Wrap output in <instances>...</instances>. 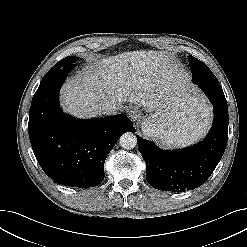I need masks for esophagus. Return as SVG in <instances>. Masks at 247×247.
Wrapping results in <instances>:
<instances>
[{
    "label": "esophagus",
    "mask_w": 247,
    "mask_h": 247,
    "mask_svg": "<svg viewBox=\"0 0 247 247\" xmlns=\"http://www.w3.org/2000/svg\"><path fill=\"white\" fill-rule=\"evenodd\" d=\"M127 114L129 116V118L133 121V122H136L140 119V110L137 106H130L128 109H127Z\"/></svg>",
    "instance_id": "esophagus-1"
}]
</instances>
